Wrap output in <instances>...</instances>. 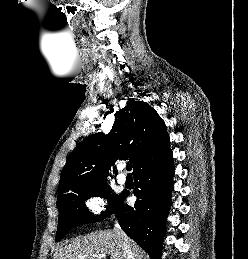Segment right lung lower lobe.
I'll return each instance as SVG.
<instances>
[{
	"instance_id": "98d812e1",
	"label": "right lung lower lobe",
	"mask_w": 248,
	"mask_h": 259,
	"mask_svg": "<svg viewBox=\"0 0 248 259\" xmlns=\"http://www.w3.org/2000/svg\"><path fill=\"white\" fill-rule=\"evenodd\" d=\"M174 172L172 151L140 166L133 172L134 195L137 197L134 207L123 204L120 200L116 211L121 228L151 259L161 258V243L171 205ZM127 196L128 193H122V200Z\"/></svg>"
}]
</instances>
